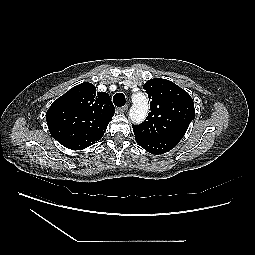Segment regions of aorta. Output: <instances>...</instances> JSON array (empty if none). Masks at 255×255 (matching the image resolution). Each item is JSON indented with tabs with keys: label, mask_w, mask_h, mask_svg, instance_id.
I'll use <instances>...</instances> for the list:
<instances>
[{
	"label": "aorta",
	"mask_w": 255,
	"mask_h": 255,
	"mask_svg": "<svg viewBox=\"0 0 255 255\" xmlns=\"http://www.w3.org/2000/svg\"><path fill=\"white\" fill-rule=\"evenodd\" d=\"M133 106L130 108L129 117L133 123H141L148 114V100L143 93L132 96Z\"/></svg>",
	"instance_id": "obj_1"
}]
</instances>
